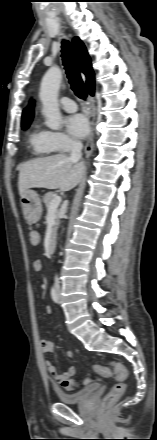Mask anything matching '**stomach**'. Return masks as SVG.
I'll list each match as a JSON object with an SVG mask.
<instances>
[{
	"label": "stomach",
	"instance_id": "0dacf381",
	"mask_svg": "<svg viewBox=\"0 0 157 440\" xmlns=\"http://www.w3.org/2000/svg\"><path fill=\"white\" fill-rule=\"evenodd\" d=\"M21 208L28 223H36L42 215V204L38 194L27 190L20 198Z\"/></svg>",
	"mask_w": 157,
	"mask_h": 440
}]
</instances>
